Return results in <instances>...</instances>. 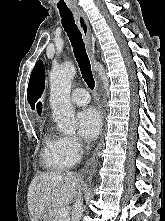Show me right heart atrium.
Returning a JSON list of instances; mask_svg holds the SVG:
<instances>
[{"instance_id":"1","label":"right heart atrium","mask_w":165,"mask_h":221,"mask_svg":"<svg viewBox=\"0 0 165 221\" xmlns=\"http://www.w3.org/2000/svg\"><path fill=\"white\" fill-rule=\"evenodd\" d=\"M65 152L77 159L82 152V143L77 137H62Z\"/></svg>"}]
</instances>
